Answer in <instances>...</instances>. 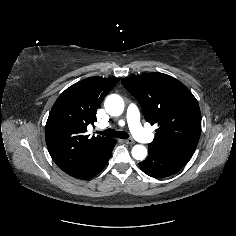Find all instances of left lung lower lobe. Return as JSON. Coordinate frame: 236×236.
<instances>
[{
	"label": "left lung lower lobe",
	"mask_w": 236,
	"mask_h": 236,
	"mask_svg": "<svg viewBox=\"0 0 236 236\" xmlns=\"http://www.w3.org/2000/svg\"><path fill=\"white\" fill-rule=\"evenodd\" d=\"M149 155L140 168L149 176L164 178L175 174L182 169L191 159L193 153L189 152H164L149 148Z\"/></svg>",
	"instance_id": "obj_1"
}]
</instances>
